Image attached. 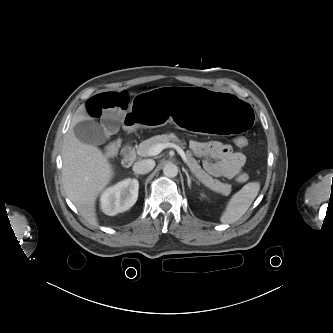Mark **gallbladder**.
<instances>
[{
  "label": "gallbladder",
  "mask_w": 333,
  "mask_h": 333,
  "mask_svg": "<svg viewBox=\"0 0 333 333\" xmlns=\"http://www.w3.org/2000/svg\"><path fill=\"white\" fill-rule=\"evenodd\" d=\"M74 134L79 141L89 145H100L106 141L104 129L91 120L77 123L74 127Z\"/></svg>",
  "instance_id": "bac80fb5"
}]
</instances>
